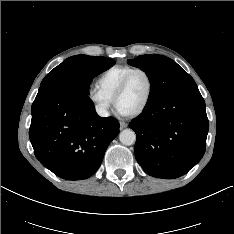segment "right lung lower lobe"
I'll use <instances>...</instances> for the list:
<instances>
[{
    "instance_id": "right-lung-lower-lobe-1",
    "label": "right lung lower lobe",
    "mask_w": 234,
    "mask_h": 234,
    "mask_svg": "<svg viewBox=\"0 0 234 234\" xmlns=\"http://www.w3.org/2000/svg\"><path fill=\"white\" fill-rule=\"evenodd\" d=\"M31 114L29 137L36 158L67 180L92 176L119 133L118 121L99 117L89 97L68 80L40 87Z\"/></svg>"
}]
</instances>
